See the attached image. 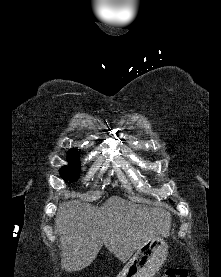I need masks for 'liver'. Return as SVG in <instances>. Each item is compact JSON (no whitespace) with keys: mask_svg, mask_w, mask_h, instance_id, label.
<instances>
[{"mask_svg":"<svg viewBox=\"0 0 221 277\" xmlns=\"http://www.w3.org/2000/svg\"><path fill=\"white\" fill-rule=\"evenodd\" d=\"M171 215L161 208L110 197L101 207L72 200L59 205L55 231L60 237L62 269L89 266L105 247L121 262L155 235L168 236Z\"/></svg>","mask_w":221,"mask_h":277,"instance_id":"obj_1","label":"liver"}]
</instances>
